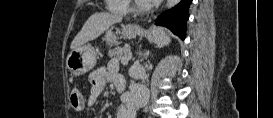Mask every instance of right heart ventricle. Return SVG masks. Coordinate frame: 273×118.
<instances>
[{"mask_svg":"<svg viewBox=\"0 0 273 118\" xmlns=\"http://www.w3.org/2000/svg\"><path fill=\"white\" fill-rule=\"evenodd\" d=\"M109 8L115 13H124L128 10V4L126 0H109Z\"/></svg>","mask_w":273,"mask_h":118,"instance_id":"right-heart-ventricle-1","label":"right heart ventricle"}]
</instances>
